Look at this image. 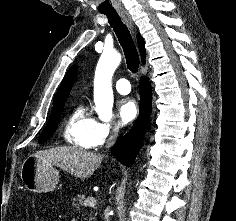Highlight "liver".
<instances>
[{
	"instance_id": "6515ba94",
	"label": "liver",
	"mask_w": 236,
	"mask_h": 221,
	"mask_svg": "<svg viewBox=\"0 0 236 221\" xmlns=\"http://www.w3.org/2000/svg\"><path fill=\"white\" fill-rule=\"evenodd\" d=\"M77 178H87L100 166L103 156L70 146L41 150L35 154Z\"/></svg>"
}]
</instances>
